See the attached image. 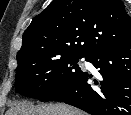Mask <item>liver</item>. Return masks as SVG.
<instances>
[{
	"label": "liver",
	"instance_id": "6515ba94",
	"mask_svg": "<svg viewBox=\"0 0 131 115\" xmlns=\"http://www.w3.org/2000/svg\"><path fill=\"white\" fill-rule=\"evenodd\" d=\"M6 115H85L80 110L64 104L37 105L23 101L15 103Z\"/></svg>",
	"mask_w": 131,
	"mask_h": 115
}]
</instances>
